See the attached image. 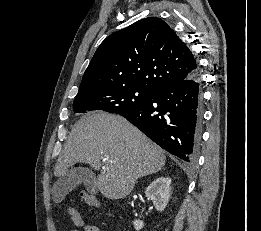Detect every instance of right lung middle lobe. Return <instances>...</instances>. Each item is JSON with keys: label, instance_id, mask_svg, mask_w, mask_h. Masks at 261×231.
Returning <instances> with one entry per match:
<instances>
[{"label": "right lung middle lobe", "instance_id": "dd1d6c3e", "mask_svg": "<svg viewBox=\"0 0 261 231\" xmlns=\"http://www.w3.org/2000/svg\"><path fill=\"white\" fill-rule=\"evenodd\" d=\"M152 97L153 92L147 89L124 86L78 95L74 99L73 110L76 113L103 110L121 115L144 106Z\"/></svg>", "mask_w": 261, "mask_h": 231}]
</instances>
